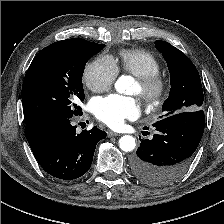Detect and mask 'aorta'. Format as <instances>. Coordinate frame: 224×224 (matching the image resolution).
I'll return each mask as SVG.
<instances>
[{
	"label": "aorta",
	"instance_id": "762f6f07",
	"mask_svg": "<svg viewBox=\"0 0 224 224\" xmlns=\"http://www.w3.org/2000/svg\"><path fill=\"white\" fill-rule=\"evenodd\" d=\"M130 85V77L123 75L116 81L115 88L119 93H125ZM135 146V138L130 135H124L119 139V147L122 151L131 152Z\"/></svg>",
	"mask_w": 224,
	"mask_h": 224
}]
</instances>
